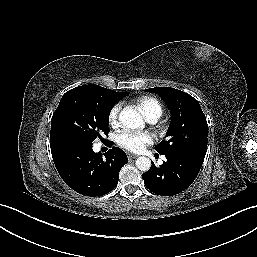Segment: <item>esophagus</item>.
<instances>
[{
	"label": "esophagus",
	"instance_id": "34e87169",
	"mask_svg": "<svg viewBox=\"0 0 257 257\" xmlns=\"http://www.w3.org/2000/svg\"><path fill=\"white\" fill-rule=\"evenodd\" d=\"M127 156H128L129 159H135V158L138 157L137 155L132 154V153H127Z\"/></svg>",
	"mask_w": 257,
	"mask_h": 257
}]
</instances>
